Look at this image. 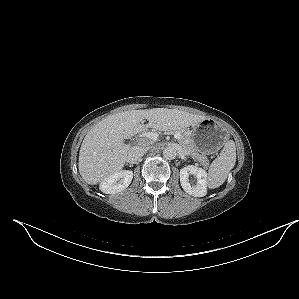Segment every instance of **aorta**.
Returning <instances> with one entry per match:
<instances>
[{
  "mask_svg": "<svg viewBox=\"0 0 299 299\" xmlns=\"http://www.w3.org/2000/svg\"><path fill=\"white\" fill-rule=\"evenodd\" d=\"M176 155H177V151L174 147H166L163 150V156L167 160L175 159Z\"/></svg>",
  "mask_w": 299,
  "mask_h": 299,
  "instance_id": "1",
  "label": "aorta"
}]
</instances>
